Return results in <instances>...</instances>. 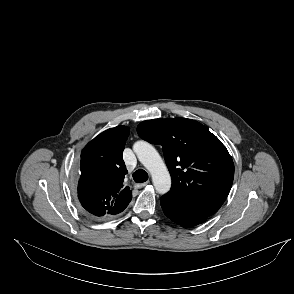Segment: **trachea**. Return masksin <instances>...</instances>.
Wrapping results in <instances>:
<instances>
[{"instance_id":"3493384b","label":"trachea","mask_w":294,"mask_h":294,"mask_svg":"<svg viewBox=\"0 0 294 294\" xmlns=\"http://www.w3.org/2000/svg\"><path fill=\"white\" fill-rule=\"evenodd\" d=\"M133 179L136 183H143L148 180V174L143 169H138L133 173Z\"/></svg>"}]
</instances>
